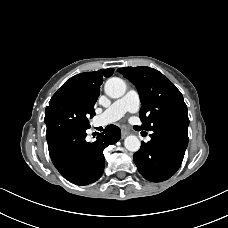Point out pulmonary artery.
<instances>
[{
  "label": "pulmonary artery",
  "instance_id": "1",
  "mask_svg": "<svg viewBox=\"0 0 228 228\" xmlns=\"http://www.w3.org/2000/svg\"><path fill=\"white\" fill-rule=\"evenodd\" d=\"M140 106V97L136 90H129L123 97L116 100L96 119V124L104 126L115 122L123 117L127 112L135 113Z\"/></svg>",
  "mask_w": 228,
  "mask_h": 228
}]
</instances>
